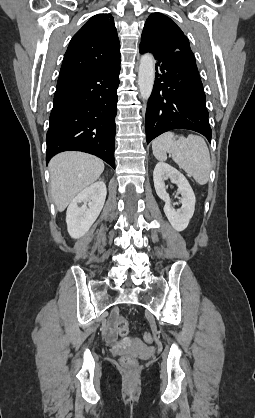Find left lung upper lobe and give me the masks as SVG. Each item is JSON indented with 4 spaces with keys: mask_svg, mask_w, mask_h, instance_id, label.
<instances>
[{
    "mask_svg": "<svg viewBox=\"0 0 255 418\" xmlns=\"http://www.w3.org/2000/svg\"><path fill=\"white\" fill-rule=\"evenodd\" d=\"M139 48L153 55L192 53L182 30L161 13H153L146 20Z\"/></svg>",
    "mask_w": 255,
    "mask_h": 418,
    "instance_id": "1",
    "label": "left lung upper lobe"
}]
</instances>
